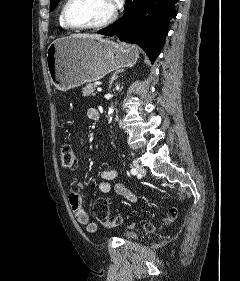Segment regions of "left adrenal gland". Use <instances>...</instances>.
Here are the masks:
<instances>
[{
	"label": "left adrenal gland",
	"instance_id": "obj_1",
	"mask_svg": "<svg viewBox=\"0 0 240 281\" xmlns=\"http://www.w3.org/2000/svg\"><path fill=\"white\" fill-rule=\"evenodd\" d=\"M123 71H124V70L121 69V70L115 71V72L113 73V75H112V77H111V80H110L109 88H111V85H112L113 81L118 78V74H119V73H122Z\"/></svg>",
	"mask_w": 240,
	"mask_h": 281
}]
</instances>
